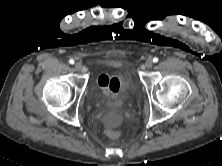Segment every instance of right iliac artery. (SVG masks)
Wrapping results in <instances>:
<instances>
[{"label": "right iliac artery", "mask_w": 222, "mask_h": 166, "mask_svg": "<svg viewBox=\"0 0 222 166\" xmlns=\"http://www.w3.org/2000/svg\"><path fill=\"white\" fill-rule=\"evenodd\" d=\"M69 63H70V64H74V60H73V59H70V60H69Z\"/></svg>", "instance_id": "obj_1"}]
</instances>
